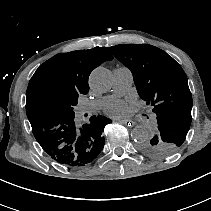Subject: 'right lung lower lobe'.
<instances>
[{"label": "right lung lower lobe", "instance_id": "right-lung-lower-lobe-1", "mask_svg": "<svg viewBox=\"0 0 211 211\" xmlns=\"http://www.w3.org/2000/svg\"><path fill=\"white\" fill-rule=\"evenodd\" d=\"M111 122L104 116H92L88 123L78 126L74 117H49L31 126L36 140L50 158L73 167L96 159L104 147L103 128Z\"/></svg>", "mask_w": 211, "mask_h": 211}]
</instances>
